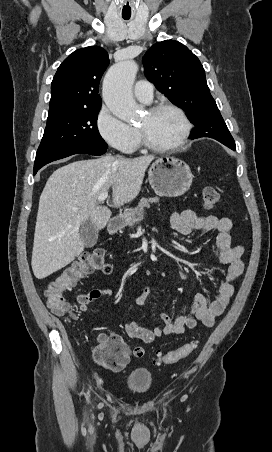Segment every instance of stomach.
Masks as SVG:
<instances>
[{
	"label": "stomach",
	"instance_id": "obj_1",
	"mask_svg": "<svg viewBox=\"0 0 272 452\" xmlns=\"http://www.w3.org/2000/svg\"><path fill=\"white\" fill-rule=\"evenodd\" d=\"M148 179L154 192L163 197H178L189 190L193 174L190 167L182 160L169 156L157 158L149 168ZM132 219L141 221L142 214L127 212L123 224Z\"/></svg>",
	"mask_w": 272,
	"mask_h": 452
}]
</instances>
